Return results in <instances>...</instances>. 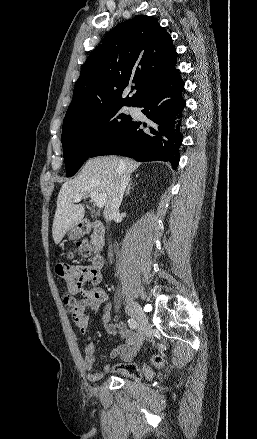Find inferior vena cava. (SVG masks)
<instances>
[{
    "mask_svg": "<svg viewBox=\"0 0 257 439\" xmlns=\"http://www.w3.org/2000/svg\"><path fill=\"white\" fill-rule=\"evenodd\" d=\"M130 180V176L127 174H122L120 181L117 183L113 193L109 197L108 203L104 210V218L106 222L111 221L114 217L119 214V207L121 205L124 191L128 182ZM110 248V247H109ZM112 256L111 250L109 252V256Z\"/></svg>",
    "mask_w": 257,
    "mask_h": 439,
    "instance_id": "obj_1",
    "label": "inferior vena cava"
}]
</instances>
